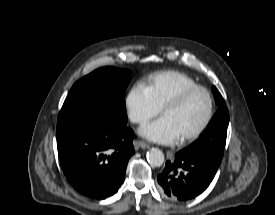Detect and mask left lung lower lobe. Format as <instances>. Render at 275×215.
Here are the masks:
<instances>
[{"mask_svg":"<svg viewBox=\"0 0 275 215\" xmlns=\"http://www.w3.org/2000/svg\"><path fill=\"white\" fill-rule=\"evenodd\" d=\"M218 167L214 162L190 156L181 150L174 159L166 162L157 181L167 197L188 201L206 190Z\"/></svg>","mask_w":275,"mask_h":215,"instance_id":"obj_1","label":"left lung lower lobe"}]
</instances>
